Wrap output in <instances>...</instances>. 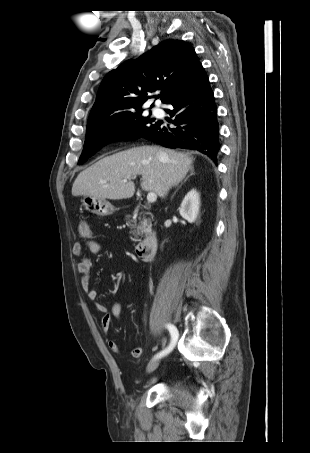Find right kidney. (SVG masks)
<instances>
[{"mask_svg":"<svg viewBox=\"0 0 310 453\" xmlns=\"http://www.w3.org/2000/svg\"><path fill=\"white\" fill-rule=\"evenodd\" d=\"M200 207L199 194L195 189L189 191L184 197L179 208L180 215L189 223L195 222Z\"/></svg>","mask_w":310,"mask_h":453,"instance_id":"obj_1","label":"right kidney"}]
</instances>
